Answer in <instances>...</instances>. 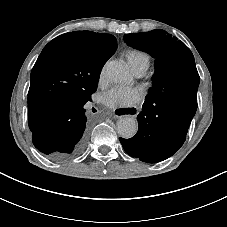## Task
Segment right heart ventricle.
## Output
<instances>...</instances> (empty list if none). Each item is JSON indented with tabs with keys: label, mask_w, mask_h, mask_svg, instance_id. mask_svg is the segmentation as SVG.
Segmentation results:
<instances>
[{
	"label": "right heart ventricle",
	"mask_w": 227,
	"mask_h": 227,
	"mask_svg": "<svg viewBox=\"0 0 227 227\" xmlns=\"http://www.w3.org/2000/svg\"><path fill=\"white\" fill-rule=\"evenodd\" d=\"M123 54L128 62L129 68L134 70H145L150 64L149 54L139 48H127L123 51Z\"/></svg>",
	"instance_id": "1"
}]
</instances>
